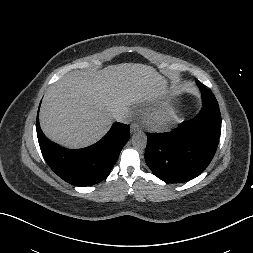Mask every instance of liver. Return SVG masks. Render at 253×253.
I'll return each instance as SVG.
<instances>
[{
  "label": "liver",
  "instance_id": "1",
  "mask_svg": "<svg viewBox=\"0 0 253 253\" xmlns=\"http://www.w3.org/2000/svg\"><path fill=\"white\" fill-rule=\"evenodd\" d=\"M167 80L138 63L110 65L94 72L72 71L49 87L40 108V125L52 141L82 148L100 140L114 114L164 94Z\"/></svg>",
  "mask_w": 253,
  "mask_h": 253
}]
</instances>
